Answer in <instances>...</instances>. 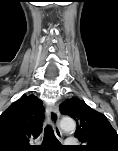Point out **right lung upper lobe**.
Here are the masks:
<instances>
[{
	"label": "right lung upper lobe",
	"mask_w": 118,
	"mask_h": 151,
	"mask_svg": "<svg viewBox=\"0 0 118 151\" xmlns=\"http://www.w3.org/2000/svg\"><path fill=\"white\" fill-rule=\"evenodd\" d=\"M43 102L24 95L0 115V151H29L31 138L42 132Z\"/></svg>",
	"instance_id": "cb5924a9"
}]
</instances>
